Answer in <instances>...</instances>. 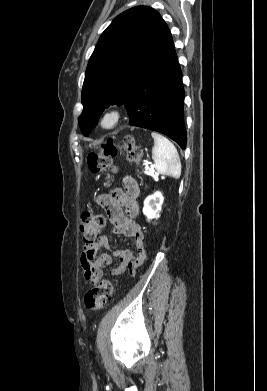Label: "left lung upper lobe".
I'll use <instances>...</instances> for the list:
<instances>
[{"label":"left lung upper lobe","mask_w":267,"mask_h":391,"mask_svg":"<svg viewBox=\"0 0 267 391\" xmlns=\"http://www.w3.org/2000/svg\"><path fill=\"white\" fill-rule=\"evenodd\" d=\"M173 42L168 26L153 8L137 6L118 15L100 36L85 73L84 135L97 124L103 110L122 105L159 55Z\"/></svg>","instance_id":"obj_1"}]
</instances>
